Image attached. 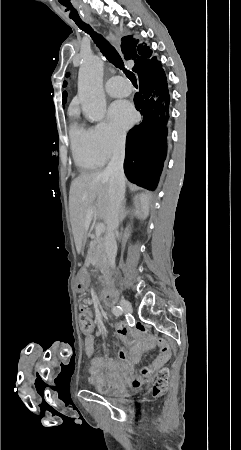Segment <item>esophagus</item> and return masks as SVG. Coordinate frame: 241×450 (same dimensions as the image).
<instances>
[{"mask_svg": "<svg viewBox=\"0 0 241 450\" xmlns=\"http://www.w3.org/2000/svg\"><path fill=\"white\" fill-rule=\"evenodd\" d=\"M111 40L114 42V37H113V35H111Z\"/></svg>", "mask_w": 241, "mask_h": 450, "instance_id": "esophagus-1", "label": "esophagus"}]
</instances>
